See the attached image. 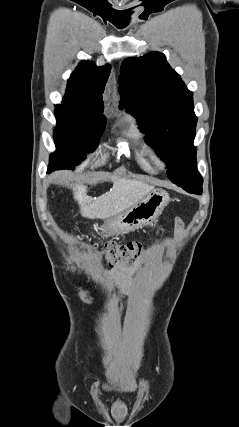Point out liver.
Segmentation results:
<instances>
[{
  "mask_svg": "<svg viewBox=\"0 0 239 427\" xmlns=\"http://www.w3.org/2000/svg\"><path fill=\"white\" fill-rule=\"evenodd\" d=\"M109 192L92 198L84 184H71L74 199L80 205L81 215L89 219H107L140 202L154 187L135 179L112 177Z\"/></svg>",
  "mask_w": 239,
  "mask_h": 427,
  "instance_id": "liver-1",
  "label": "liver"
}]
</instances>
